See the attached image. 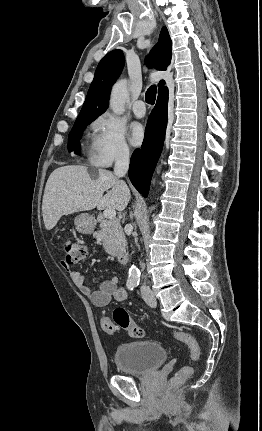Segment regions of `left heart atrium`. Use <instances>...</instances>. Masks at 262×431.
<instances>
[{
    "label": "left heart atrium",
    "mask_w": 262,
    "mask_h": 431,
    "mask_svg": "<svg viewBox=\"0 0 262 431\" xmlns=\"http://www.w3.org/2000/svg\"><path fill=\"white\" fill-rule=\"evenodd\" d=\"M129 139L133 146H139L144 140V129L138 123H133L129 130Z\"/></svg>",
    "instance_id": "1"
}]
</instances>
